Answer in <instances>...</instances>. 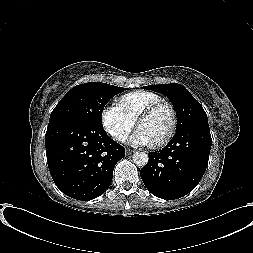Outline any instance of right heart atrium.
Listing matches in <instances>:
<instances>
[{"label":"right heart atrium","instance_id":"d8ad5b80","mask_svg":"<svg viewBox=\"0 0 253 253\" xmlns=\"http://www.w3.org/2000/svg\"><path fill=\"white\" fill-rule=\"evenodd\" d=\"M101 120L105 130L118 142L125 141L135 125V121L115 103L104 107Z\"/></svg>","mask_w":253,"mask_h":253}]
</instances>
